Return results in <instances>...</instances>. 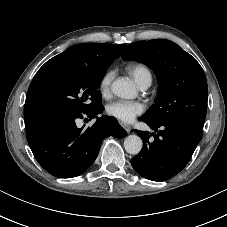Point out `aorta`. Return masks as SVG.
<instances>
[{"label": "aorta", "mask_w": 227, "mask_h": 227, "mask_svg": "<svg viewBox=\"0 0 227 227\" xmlns=\"http://www.w3.org/2000/svg\"><path fill=\"white\" fill-rule=\"evenodd\" d=\"M112 92L123 99H133L137 96L135 86L124 78L117 79L112 83ZM142 147V140L137 135H129L124 140V148L129 154H139Z\"/></svg>", "instance_id": "1"}]
</instances>
